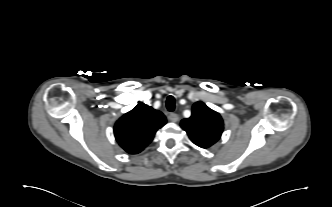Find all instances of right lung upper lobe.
Listing matches in <instances>:
<instances>
[{
	"label": "right lung upper lobe",
	"mask_w": 332,
	"mask_h": 207,
	"mask_svg": "<svg viewBox=\"0 0 332 207\" xmlns=\"http://www.w3.org/2000/svg\"><path fill=\"white\" fill-rule=\"evenodd\" d=\"M165 124L166 118L160 111L138 103L115 123L114 135L127 153L137 154L153 140L156 131Z\"/></svg>",
	"instance_id": "1"
}]
</instances>
